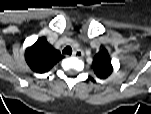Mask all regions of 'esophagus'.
Instances as JSON below:
<instances>
[{
    "label": "esophagus",
    "instance_id": "esophagus-1",
    "mask_svg": "<svg viewBox=\"0 0 151 114\" xmlns=\"http://www.w3.org/2000/svg\"><path fill=\"white\" fill-rule=\"evenodd\" d=\"M72 55L77 58H82L84 56V52L81 49H77Z\"/></svg>",
    "mask_w": 151,
    "mask_h": 114
}]
</instances>
